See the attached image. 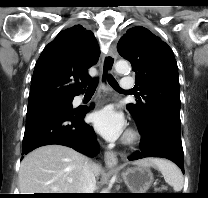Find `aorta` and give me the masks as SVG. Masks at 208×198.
<instances>
[{
  "label": "aorta",
  "mask_w": 208,
  "mask_h": 198,
  "mask_svg": "<svg viewBox=\"0 0 208 198\" xmlns=\"http://www.w3.org/2000/svg\"><path fill=\"white\" fill-rule=\"evenodd\" d=\"M115 69L118 73L120 74H124L127 73L130 70V65L127 61L125 60H120L116 63L115 65ZM103 193H108L107 191L103 192Z\"/></svg>",
  "instance_id": "1"
}]
</instances>
